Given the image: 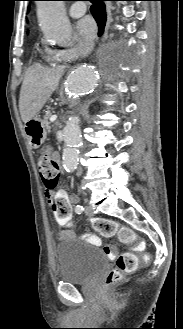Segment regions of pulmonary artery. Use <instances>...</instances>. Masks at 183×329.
Listing matches in <instances>:
<instances>
[{"label": "pulmonary artery", "mask_w": 183, "mask_h": 329, "mask_svg": "<svg viewBox=\"0 0 183 329\" xmlns=\"http://www.w3.org/2000/svg\"><path fill=\"white\" fill-rule=\"evenodd\" d=\"M86 12V5L82 2H76L71 5L69 14L71 17L77 18L82 16Z\"/></svg>", "instance_id": "pulmonary-artery-1"}]
</instances>
